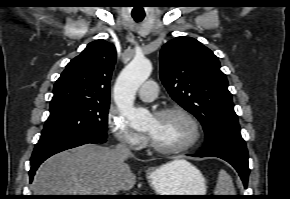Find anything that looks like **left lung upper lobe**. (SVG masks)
<instances>
[{"label":"left lung upper lobe","instance_id":"1","mask_svg":"<svg viewBox=\"0 0 290 199\" xmlns=\"http://www.w3.org/2000/svg\"><path fill=\"white\" fill-rule=\"evenodd\" d=\"M160 78L170 96L201 122L205 145L223 136H241L226 75L218 58L199 41L176 37L166 43Z\"/></svg>","mask_w":290,"mask_h":199}]
</instances>
